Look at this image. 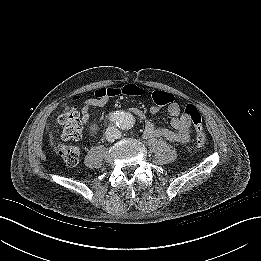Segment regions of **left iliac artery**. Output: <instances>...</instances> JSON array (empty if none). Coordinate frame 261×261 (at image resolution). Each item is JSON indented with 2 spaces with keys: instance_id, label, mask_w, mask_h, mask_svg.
<instances>
[{
  "instance_id": "44dca946",
  "label": "left iliac artery",
  "mask_w": 261,
  "mask_h": 261,
  "mask_svg": "<svg viewBox=\"0 0 261 261\" xmlns=\"http://www.w3.org/2000/svg\"><path fill=\"white\" fill-rule=\"evenodd\" d=\"M133 126V120L131 117L124 115L122 120L120 121V127L124 130H128Z\"/></svg>"
}]
</instances>
